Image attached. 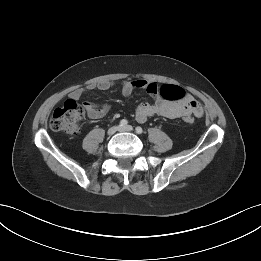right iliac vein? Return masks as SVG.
Masks as SVG:
<instances>
[{"label":"right iliac vein","instance_id":"obj_1","mask_svg":"<svg viewBox=\"0 0 261 261\" xmlns=\"http://www.w3.org/2000/svg\"><path fill=\"white\" fill-rule=\"evenodd\" d=\"M120 130V127L119 126H113V127H111V128H109L108 129V135H113V134H115L117 131H119Z\"/></svg>","mask_w":261,"mask_h":261}]
</instances>
